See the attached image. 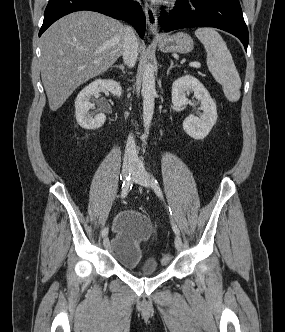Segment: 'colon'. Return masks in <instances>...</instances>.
Segmentation results:
<instances>
[{"label":"colon","mask_w":285,"mask_h":332,"mask_svg":"<svg viewBox=\"0 0 285 332\" xmlns=\"http://www.w3.org/2000/svg\"><path fill=\"white\" fill-rule=\"evenodd\" d=\"M170 260H171V255L170 254L164 255L163 258H162L163 263H169Z\"/></svg>","instance_id":"obj_1"}]
</instances>
